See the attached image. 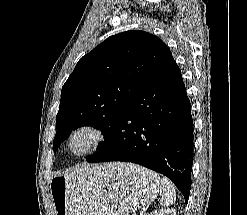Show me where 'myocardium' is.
Instances as JSON below:
<instances>
[{"label":"myocardium","instance_id":"1","mask_svg":"<svg viewBox=\"0 0 247 215\" xmlns=\"http://www.w3.org/2000/svg\"><path fill=\"white\" fill-rule=\"evenodd\" d=\"M81 134L89 136V142L82 151H74L73 142ZM105 141V133L102 129L92 123H82L74 127L66 138V149L68 153L76 158H82L94 153Z\"/></svg>","mask_w":247,"mask_h":215}]
</instances>
